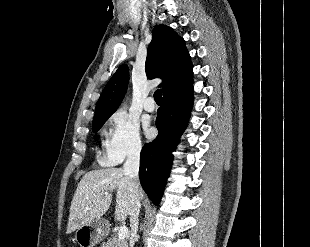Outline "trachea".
<instances>
[{"label":"trachea","instance_id":"obj_1","mask_svg":"<svg viewBox=\"0 0 310 247\" xmlns=\"http://www.w3.org/2000/svg\"><path fill=\"white\" fill-rule=\"evenodd\" d=\"M154 99H155V102L157 104H160L161 103V99H162V90L161 89H158L155 91L154 93Z\"/></svg>","mask_w":310,"mask_h":247}]
</instances>
